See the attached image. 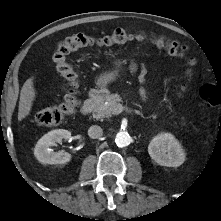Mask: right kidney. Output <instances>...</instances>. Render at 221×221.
<instances>
[{"instance_id":"right-kidney-1","label":"right kidney","mask_w":221,"mask_h":221,"mask_svg":"<svg viewBox=\"0 0 221 221\" xmlns=\"http://www.w3.org/2000/svg\"><path fill=\"white\" fill-rule=\"evenodd\" d=\"M71 138V132L65 129H56L48 132L37 142L34 155L43 164H65L71 160V155L67 152H53L50 147L56 143Z\"/></svg>"}]
</instances>
